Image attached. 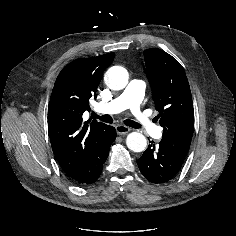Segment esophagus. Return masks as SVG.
I'll return each mask as SVG.
<instances>
[{"mask_svg":"<svg viewBox=\"0 0 236 236\" xmlns=\"http://www.w3.org/2000/svg\"><path fill=\"white\" fill-rule=\"evenodd\" d=\"M115 128H116L117 134L119 135L126 134L130 131V128L125 125H117Z\"/></svg>","mask_w":236,"mask_h":236,"instance_id":"esophagus-1","label":"esophagus"}]
</instances>
